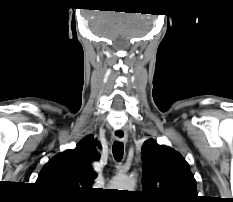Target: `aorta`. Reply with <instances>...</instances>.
<instances>
[{
    "label": "aorta",
    "mask_w": 233,
    "mask_h": 202,
    "mask_svg": "<svg viewBox=\"0 0 233 202\" xmlns=\"http://www.w3.org/2000/svg\"><path fill=\"white\" fill-rule=\"evenodd\" d=\"M136 181L130 176H118L112 181V187L118 190H129L133 191L135 188Z\"/></svg>",
    "instance_id": "obj_1"
}]
</instances>
